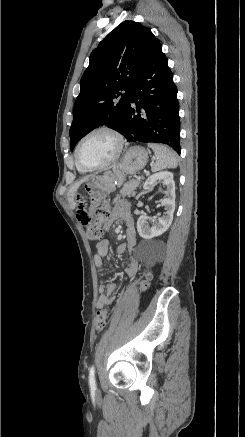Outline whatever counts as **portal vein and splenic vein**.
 Segmentation results:
<instances>
[{
	"label": "portal vein and splenic vein",
	"mask_w": 245,
	"mask_h": 437,
	"mask_svg": "<svg viewBox=\"0 0 245 437\" xmlns=\"http://www.w3.org/2000/svg\"><path fill=\"white\" fill-rule=\"evenodd\" d=\"M137 179L140 180V179H141V176H138Z\"/></svg>",
	"instance_id": "18ae733b"
}]
</instances>
